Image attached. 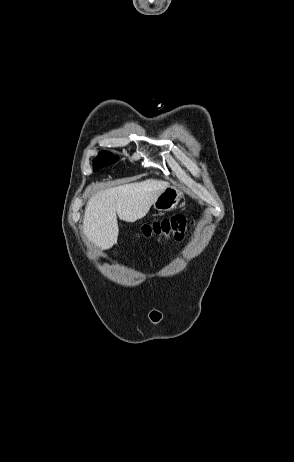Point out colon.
<instances>
[{
	"label": "colon",
	"mask_w": 294,
	"mask_h": 462,
	"mask_svg": "<svg viewBox=\"0 0 294 462\" xmlns=\"http://www.w3.org/2000/svg\"><path fill=\"white\" fill-rule=\"evenodd\" d=\"M190 222L182 215H176L150 224H145L140 230L144 237L157 236L161 239L181 241L185 238Z\"/></svg>",
	"instance_id": "obj_1"
}]
</instances>
